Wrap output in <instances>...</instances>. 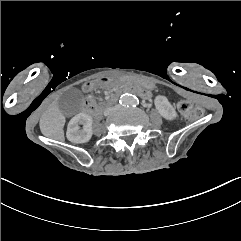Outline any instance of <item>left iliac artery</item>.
Returning a JSON list of instances; mask_svg holds the SVG:
<instances>
[{"mask_svg": "<svg viewBox=\"0 0 241 241\" xmlns=\"http://www.w3.org/2000/svg\"><path fill=\"white\" fill-rule=\"evenodd\" d=\"M139 104V100L138 99H134L132 100V105L135 107Z\"/></svg>", "mask_w": 241, "mask_h": 241, "instance_id": "left-iliac-artery-1", "label": "left iliac artery"}]
</instances>
